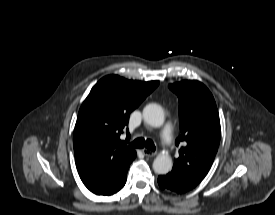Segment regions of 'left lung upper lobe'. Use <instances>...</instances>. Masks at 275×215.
Returning <instances> with one entry per match:
<instances>
[{"instance_id":"obj_1","label":"left lung upper lobe","mask_w":275,"mask_h":215,"mask_svg":"<svg viewBox=\"0 0 275 215\" xmlns=\"http://www.w3.org/2000/svg\"><path fill=\"white\" fill-rule=\"evenodd\" d=\"M169 88L179 98L181 134L176 145L185 142L173 168L203 180L220 142V120L215 100L207 87L196 80L170 84Z\"/></svg>"}]
</instances>
